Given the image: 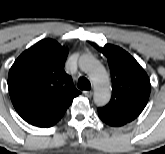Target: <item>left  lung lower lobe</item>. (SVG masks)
Wrapping results in <instances>:
<instances>
[{
    "mask_svg": "<svg viewBox=\"0 0 165 154\" xmlns=\"http://www.w3.org/2000/svg\"><path fill=\"white\" fill-rule=\"evenodd\" d=\"M100 119L105 122L106 124L108 125H111V126H122L126 123L122 122V121H119V120H110V119H107V118H104L103 116L99 115Z\"/></svg>",
    "mask_w": 165,
    "mask_h": 154,
    "instance_id": "0a47b994",
    "label": "left lung lower lobe"
}]
</instances>
